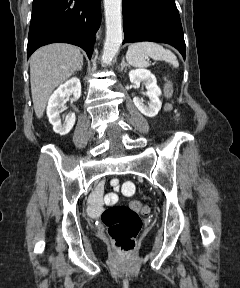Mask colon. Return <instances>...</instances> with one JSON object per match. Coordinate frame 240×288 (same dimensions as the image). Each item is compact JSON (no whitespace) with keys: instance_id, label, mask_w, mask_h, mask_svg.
Returning <instances> with one entry per match:
<instances>
[{"instance_id":"5ec220e1","label":"colon","mask_w":240,"mask_h":288,"mask_svg":"<svg viewBox=\"0 0 240 288\" xmlns=\"http://www.w3.org/2000/svg\"><path fill=\"white\" fill-rule=\"evenodd\" d=\"M125 192L130 193L133 186L125 185ZM148 208L140 201H131L128 205H117L106 209L101 220L106 226L107 233L117 250L124 254L131 253L142 227L141 215Z\"/></svg>"}]
</instances>
